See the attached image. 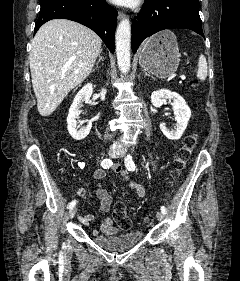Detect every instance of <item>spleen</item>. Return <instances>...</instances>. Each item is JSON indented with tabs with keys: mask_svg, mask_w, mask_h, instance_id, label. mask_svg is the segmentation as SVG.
Listing matches in <instances>:
<instances>
[{
	"mask_svg": "<svg viewBox=\"0 0 240 281\" xmlns=\"http://www.w3.org/2000/svg\"><path fill=\"white\" fill-rule=\"evenodd\" d=\"M208 74L207 61L204 55L199 56L197 78L204 81Z\"/></svg>",
	"mask_w": 240,
	"mask_h": 281,
	"instance_id": "1",
	"label": "spleen"
}]
</instances>
